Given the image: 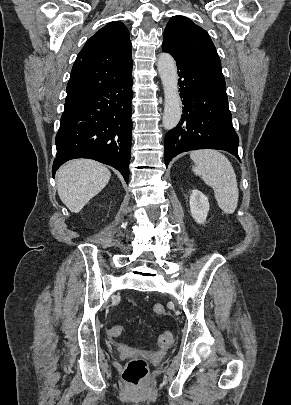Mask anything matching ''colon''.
<instances>
[{"mask_svg":"<svg viewBox=\"0 0 291 405\" xmlns=\"http://www.w3.org/2000/svg\"><path fill=\"white\" fill-rule=\"evenodd\" d=\"M154 312L158 315L165 314V309L161 304L154 305ZM123 333V327L120 324H113L109 328L111 337H119ZM173 342V334L171 331H165L158 338V345L165 347ZM148 375L147 362L142 358L131 359L124 367L122 372L123 380L133 386L141 384Z\"/></svg>","mask_w":291,"mask_h":405,"instance_id":"1","label":"colon"}]
</instances>
